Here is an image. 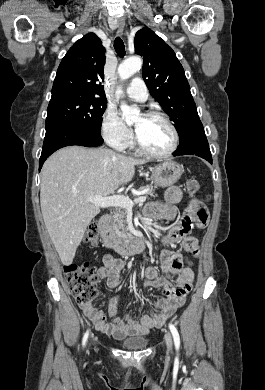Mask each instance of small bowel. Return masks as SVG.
Returning <instances> with one entry per match:
<instances>
[{
    "instance_id": "small-bowel-1",
    "label": "small bowel",
    "mask_w": 265,
    "mask_h": 390,
    "mask_svg": "<svg viewBox=\"0 0 265 390\" xmlns=\"http://www.w3.org/2000/svg\"><path fill=\"white\" fill-rule=\"evenodd\" d=\"M165 203H150L145 208V215L150 219L172 221L177 214L176 205L182 200L181 189L177 186L170 187L165 194ZM209 215L204 204L198 200H191L185 207L181 221L173 225L168 234L162 237V243L172 246L180 243L184 251L198 254V241L190 235L192 224L202 228L207 224ZM159 262L165 276H159L154 266H146L144 285L159 288L163 297L157 303V311L153 314H143L139 320H133L129 314L123 318L118 316V303L123 294L115 295L109 304V316L107 320L104 313L93 304L81 305L84 314L93 322L100 332L121 338L128 335H145L151 329L161 327L175 311L183 304L192 289L194 272L191 263L181 251L163 249L159 253ZM102 267L97 271V276L105 280L110 289L117 287L121 272L125 269V262L106 254L101 259Z\"/></svg>"
}]
</instances>
